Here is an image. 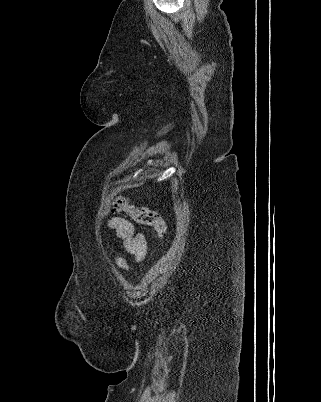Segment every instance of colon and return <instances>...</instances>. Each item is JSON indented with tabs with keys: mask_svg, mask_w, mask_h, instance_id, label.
<instances>
[{
	"mask_svg": "<svg viewBox=\"0 0 321 402\" xmlns=\"http://www.w3.org/2000/svg\"><path fill=\"white\" fill-rule=\"evenodd\" d=\"M112 207L118 212L126 213L136 223L152 227L159 238L166 236V223L157 211L149 208L136 207L123 197L113 199Z\"/></svg>",
	"mask_w": 321,
	"mask_h": 402,
	"instance_id": "5ec220e1",
	"label": "colon"
}]
</instances>
